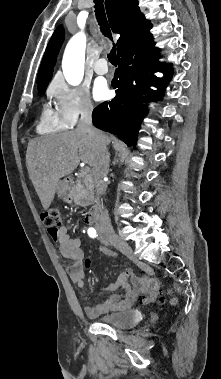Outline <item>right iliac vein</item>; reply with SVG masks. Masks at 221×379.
<instances>
[{"label":"right iliac vein","mask_w":221,"mask_h":379,"mask_svg":"<svg viewBox=\"0 0 221 379\" xmlns=\"http://www.w3.org/2000/svg\"><path fill=\"white\" fill-rule=\"evenodd\" d=\"M105 242L108 243V244H110V245H113L114 247H116L121 252H123V253H125L127 255L132 254V249L128 245V243H126L124 240H122L121 238H119L116 235H109V236H107L105 238Z\"/></svg>","instance_id":"1"}]
</instances>
